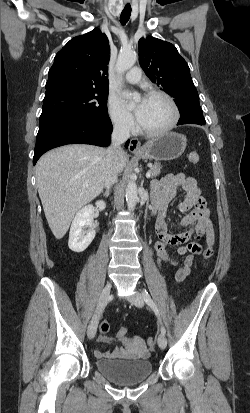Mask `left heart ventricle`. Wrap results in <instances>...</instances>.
Here are the masks:
<instances>
[{"label": "left heart ventricle", "instance_id": "left-heart-ventricle-1", "mask_svg": "<svg viewBox=\"0 0 250 413\" xmlns=\"http://www.w3.org/2000/svg\"><path fill=\"white\" fill-rule=\"evenodd\" d=\"M172 117L173 112L167 101L160 97H148L140 124L147 130L156 131L165 128Z\"/></svg>", "mask_w": 250, "mask_h": 413}]
</instances>
